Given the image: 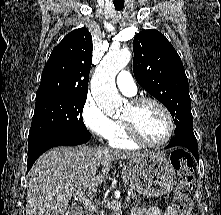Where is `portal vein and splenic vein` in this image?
I'll list each match as a JSON object with an SVG mask.
<instances>
[{"label": "portal vein and splenic vein", "instance_id": "1", "mask_svg": "<svg viewBox=\"0 0 221 215\" xmlns=\"http://www.w3.org/2000/svg\"><path fill=\"white\" fill-rule=\"evenodd\" d=\"M75 199L81 201L87 208L95 209V205L90 201L89 198L83 196V194H78L75 196ZM126 199L130 200V196H127Z\"/></svg>", "mask_w": 221, "mask_h": 215}]
</instances>
